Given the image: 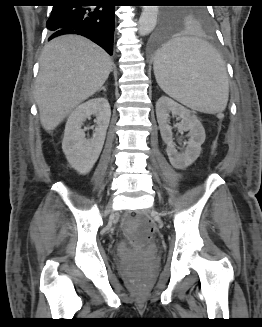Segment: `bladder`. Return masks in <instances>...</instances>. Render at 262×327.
I'll return each instance as SVG.
<instances>
[{"mask_svg": "<svg viewBox=\"0 0 262 327\" xmlns=\"http://www.w3.org/2000/svg\"><path fill=\"white\" fill-rule=\"evenodd\" d=\"M139 262V259L133 255L128 256L120 261V267L122 269H130L135 267Z\"/></svg>", "mask_w": 262, "mask_h": 327, "instance_id": "1", "label": "bladder"}]
</instances>
